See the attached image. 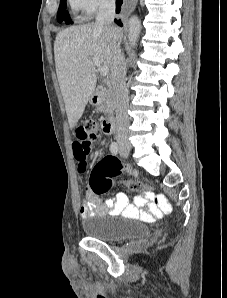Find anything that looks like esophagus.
I'll return each instance as SVG.
<instances>
[{"mask_svg": "<svg viewBox=\"0 0 227 298\" xmlns=\"http://www.w3.org/2000/svg\"><path fill=\"white\" fill-rule=\"evenodd\" d=\"M131 1H133V0H131ZM118 20L120 21V23H124L123 16H120Z\"/></svg>", "mask_w": 227, "mask_h": 298, "instance_id": "esophagus-1", "label": "esophagus"}]
</instances>
